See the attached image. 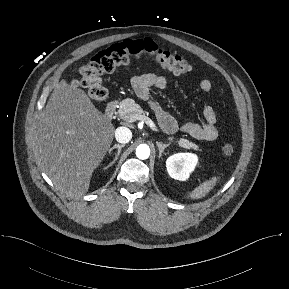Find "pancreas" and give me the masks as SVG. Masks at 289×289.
I'll list each match as a JSON object with an SVG mask.
<instances>
[{
    "instance_id": "1",
    "label": "pancreas",
    "mask_w": 289,
    "mask_h": 289,
    "mask_svg": "<svg viewBox=\"0 0 289 289\" xmlns=\"http://www.w3.org/2000/svg\"><path fill=\"white\" fill-rule=\"evenodd\" d=\"M119 117L123 120L129 121L136 115H146V111H144L139 104H137L133 99L127 98L122 100L119 103V109L117 111ZM172 140V138H170ZM180 147L185 149H193L196 151H200L198 145L193 142H190L187 139L181 138L178 141Z\"/></svg>"
}]
</instances>
